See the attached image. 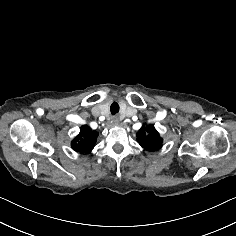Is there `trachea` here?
<instances>
[{
  "label": "trachea",
  "instance_id": "3493384b",
  "mask_svg": "<svg viewBox=\"0 0 236 236\" xmlns=\"http://www.w3.org/2000/svg\"><path fill=\"white\" fill-rule=\"evenodd\" d=\"M110 112L112 115H116L119 112V104L117 102H113L111 104Z\"/></svg>",
  "mask_w": 236,
  "mask_h": 236
}]
</instances>
